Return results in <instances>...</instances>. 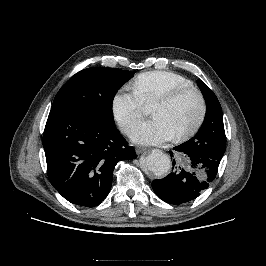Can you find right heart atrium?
Masks as SVG:
<instances>
[{"instance_id":"obj_1","label":"right heart atrium","mask_w":266,"mask_h":266,"mask_svg":"<svg viewBox=\"0 0 266 266\" xmlns=\"http://www.w3.org/2000/svg\"><path fill=\"white\" fill-rule=\"evenodd\" d=\"M111 110L120 129L128 134L143 117L145 104L135 91L122 88L113 95Z\"/></svg>"}]
</instances>
